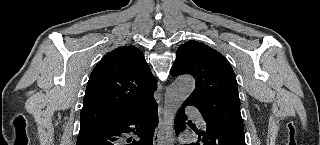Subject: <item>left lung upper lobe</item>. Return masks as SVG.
Instances as JSON below:
<instances>
[{
	"mask_svg": "<svg viewBox=\"0 0 320 145\" xmlns=\"http://www.w3.org/2000/svg\"><path fill=\"white\" fill-rule=\"evenodd\" d=\"M170 73L190 74L196 79V87L185 102L200 111L206 124L244 131L236 77L221 53L190 40L178 48Z\"/></svg>",
	"mask_w": 320,
	"mask_h": 145,
	"instance_id": "left-lung-upper-lobe-1",
	"label": "left lung upper lobe"
}]
</instances>
